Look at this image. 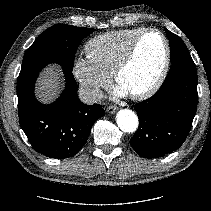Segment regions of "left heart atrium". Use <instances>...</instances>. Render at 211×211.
I'll list each match as a JSON object with an SVG mask.
<instances>
[{
  "instance_id": "obj_1",
  "label": "left heart atrium",
  "mask_w": 211,
  "mask_h": 211,
  "mask_svg": "<svg viewBox=\"0 0 211 211\" xmlns=\"http://www.w3.org/2000/svg\"><path fill=\"white\" fill-rule=\"evenodd\" d=\"M115 94H116L117 96H125V95L128 94V92H127L125 89H123L121 86H118V87L115 89Z\"/></svg>"
}]
</instances>
